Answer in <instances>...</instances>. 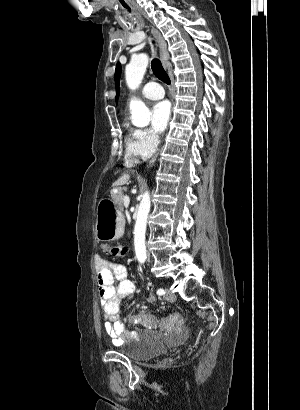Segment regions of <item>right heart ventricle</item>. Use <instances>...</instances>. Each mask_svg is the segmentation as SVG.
<instances>
[{
  "instance_id": "obj_1",
  "label": "right heart ventricle",
  "mask_w": 300,
  "mask_h": 410,
  "mask_svg": "<svg viewBox=\"0 0 300 410\" xmlns=\"http://www.w3.org/2000/svg\"><path fill=\"white\" fill-rule=\"evenodd\" d=\"M125 144H126V153H125L126 163L132 164V163L137 162L140 158H144L135 151L132 135L130 134L126 135Z\"/></svg>"
}]
</instances>
